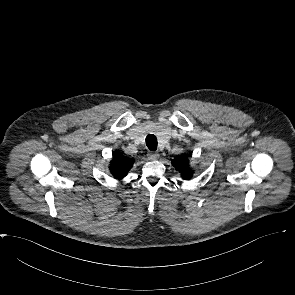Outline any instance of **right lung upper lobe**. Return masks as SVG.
Listing matches in <instances>:
<instances>
[{"label": "right lung upper lobe", "instance_id": "obj_1", "mask_svg": "<svg viewBox=\"0 0 295 295\" xmlns=\"http://www.w3.org/2000/svg\"><path fill=\"white\" fill-rule=\"evenodd\" d=\"M134 160L125 157L122 153L116 152L113 160L111 161V174L116 178H123L127 175V172L132 168Z\"/></svg>", "mask_w": 295, "mask_h": 295}]
</instances>
